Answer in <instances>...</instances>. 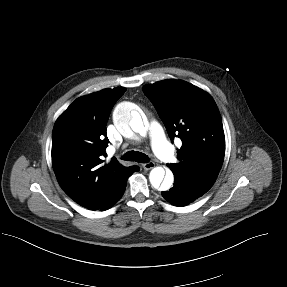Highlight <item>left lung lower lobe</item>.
Instances as JSON below:
<instances>
[{"label": "left lung lower lobe", "instance_id": "obj_1", "mask_svg": "<svg viewBox=\"0 0 287 287\" xmlns=\"http://www.w3.org/2000/svg\"><path fill=\"white\" fill-rule=\"evenodd\" d=\"M175 176L174 186L169 190L162 192V196L175 206H186L206 192L192 185L182 176Z\"/></svg>", "mask_w": 287, "mask_h": 287}]
</instances>
